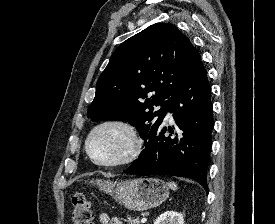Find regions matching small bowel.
<instances>
[{
	"instance_id": "1",
	"label": "small bowel",
	"mask_w": 275,
	"mask_h": 224,
	"mask_svg": "<svg viewBox=\"0 0 275 224\" xmlns=\"http://www.w3.org/2000/svg\"><path fill=\"white\" fill-rule=\"evenodd\" d=\"M98 221L100 224H123L118 217H112L107 212H100L98 214Z\"/></svg>"
}]
</instances>
